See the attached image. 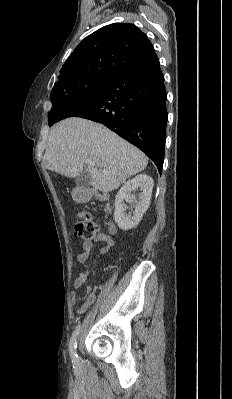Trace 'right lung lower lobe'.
<instances>
[{
    "instance_id": "98d812e1",
    "label": "right lung lower lobe",
    "mask_w": 232,
    "mask_h": 399,
    "mask_svg": "<svg viewBox=\"0 0 232 399\" xmlns=\"http://www.w3.org/2000/svg\"><path fill=\"white\" fill-rule=\"evenodd\" d=\"M108 79L93 96L69 104L55 123L68 117L102 123L142 150L161 173L168 114L164 76L156 53Z\"/></svg>"
}]
</instances>
